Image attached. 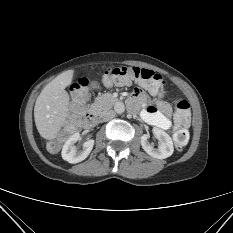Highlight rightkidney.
<instances>
[{
	"mask_svg": "<svg viewBox=\"0 0 233 233\" xmlns=\"http://www.w3.org/2000/svg\"><path fill=\"white\" fill-rule=\"evenodd\" d=\"M80 138L78 132L72 134L65 142L62 148V158L69 163H79L87 158L94 146V140H88L83 144L81 151H77L75 143Z\"/></svg>",
	"mask_w": 233,
	"mask_h": 233,
	"instance_id": "ca27d5eb",
	"label": "right kidney"
}]
</instances>
